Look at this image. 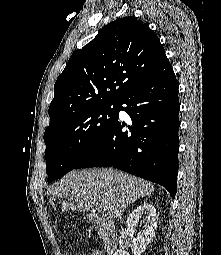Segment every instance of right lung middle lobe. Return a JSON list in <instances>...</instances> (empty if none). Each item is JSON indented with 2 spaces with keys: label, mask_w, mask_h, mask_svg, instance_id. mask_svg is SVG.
Instances as JSON below:
<instances>
[{
  "label": "right lung middle lobe",
  "mask_w": 221,
  "mask_h": 255,
  "mask_svg": "<svg viewBox=\"0 0 221 255\" xmlns=\"http://www.w3.org/2000/svg\"><path fill=\"white\" fill-rule=\"evenodd\" d=\"M119 103H100L79 110L45 131L46 172L52 182L74 169L119 116Z\"/></svg>",
  "instance_id": "right-lung-middle-lobe-1"
}]
</instances>
